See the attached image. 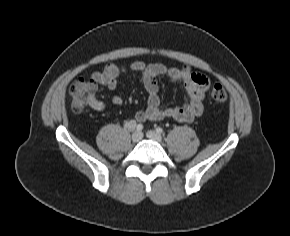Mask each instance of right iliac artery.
<instances>
[{"instance_id":"obj_1","label":"right iliac artery","mask_w":290,"mask_h":236,"mask_svg":"<svg viewBox=\"0 0 290 236\" xmlns=\"http://www.w3.org/2000/svg\"><path fill=\"white\" fill-rule=\"evenodd\" d=\"M136 130L137 131H142L143 130V125L142 124H136Z\"/></svg>"}]
</instances>
